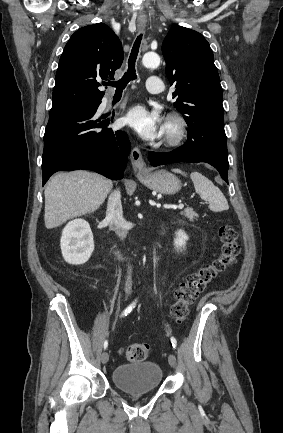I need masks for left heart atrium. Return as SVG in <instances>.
<instances>
[{"mask_svg": "<svg viewBox=\"0 0 283 433\" xmlns=\"http://www.w3.org/2000/svg\"><path fill=\"white\" fill-rule=\"evenodd\" d=\"M126 123L145 141H155L165 132V125L158 114L142 105H136L128 111Z\"/></svg>", "mask_w": 283, "mask_h": 433, "instance_id": "39dd6f15", "label": "left heart atrium"}]
</instances>
